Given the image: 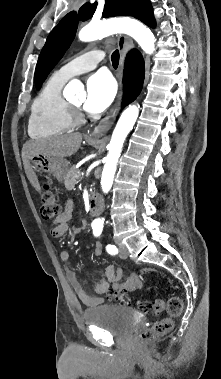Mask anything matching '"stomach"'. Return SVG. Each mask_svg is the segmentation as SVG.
Masks as SVG:
<instances>
[{
    "label": "stomach",
    "mask_w": 221,
    "mask_h": 379,
    "mask_svg": "<svg viewBox=\"0 0 221 379\" xmlns=\"http://www.w3.org/2000/svg\"><path fill=\"white\" fill-rule=\"evenodd\" d=\"M30 160L36 170L52 174L59 182H62L69 170V162L63 158L34 154Z\"/></svg>",
    "instance_id": "1"
}]
</instances>
